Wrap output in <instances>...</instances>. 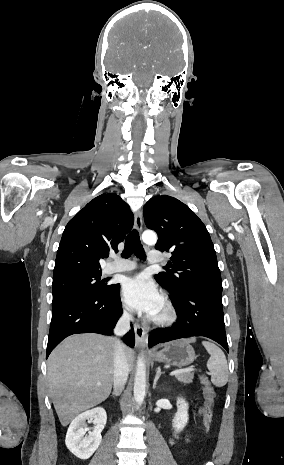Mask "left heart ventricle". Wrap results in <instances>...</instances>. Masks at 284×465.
<instances>
[{"mask_svg": "<svg viewBox=\"0 0 284 465\" xmlns=\"http://www.w3.org/2000/svg\"><path fill=\"white\" fill-rule=\"evenodd\" d=\"M163 315V309L162 307H160L154 314L153 316H156V317H161Z\"/></svg>", "mask_w": 284, "mask_h": 465, "instance_id": "b2bd125f", "label": "left heart ventricle"}]
</instances>
